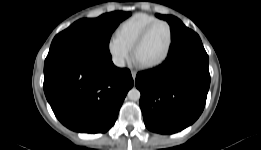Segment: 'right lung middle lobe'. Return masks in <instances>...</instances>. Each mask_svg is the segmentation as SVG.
I'll return each mask as SVG.
<instances>
[{
    "label": "right lung middle lobe",
    "instance_id": "obj_1",
    "mask_svg": "<svg viewBox=\"0 0 261 150\" xmlns=\"http://www.w3.org/2000/svg\"><path fill=\"white\" fill-rule=\"evenodd\" d=\"M129 16V12L114 11L95 19H80L55 36L49 53L58 50H83L108 54L111 34Z\"/></svg>",
    "mask_w": 261,
    "mask_h": 150
}]
</instances>
